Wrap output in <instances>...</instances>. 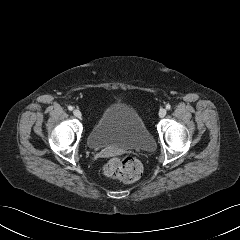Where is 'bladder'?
<instances>
[{
    "label": "bladder",
    "instance_id": "obj_1",
    "mask_svg": "<svg viewBox=\"0 0 240 240\" xmlns=\"http://www.w3.org/2000/svg\"><path fill=\"white\" fill-rule=\"evenodd\" d=\"M92 149L113 148L149 152L154 138L141 116L129 105L114 103L108 106L90 129L87 137Z\"/></svg>",
    "mask_w": 240,
    "mask_h": 240
}]
</instances>
